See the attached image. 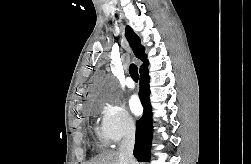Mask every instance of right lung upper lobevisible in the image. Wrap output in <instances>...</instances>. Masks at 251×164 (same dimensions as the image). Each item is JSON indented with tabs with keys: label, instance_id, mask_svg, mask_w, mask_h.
Listing matches in <instances>:
<instances>
[{
	"label": "right lung upper lobe",
	"instance_id": "obj_1",
	"mask_svg": "<svg viewBox=\"0 0 251 164\" xmlns=\"http://www.w3.org/2000/svg\"><path fill=\"white\" fill-rule=\"evenodd\" d=\"M125 36L130 43L134 55L139 58L144 64L140 67V71L147 67L148 60L144 53V47L141 46L140 38L134 33L131 27L127 26Z\"/></svg>",
	"mask_w": 251,
	"mask_h": 164
}]
</instances>
